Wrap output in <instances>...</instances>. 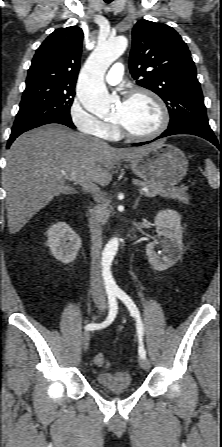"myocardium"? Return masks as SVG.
Listing matches in <instances>:
<instances>
[{
    "label": "myocardium",
    "instance_id": "f54148a6",
    "mask_svg": "<svg viewBox=\"0 0 222 447\" xmlns=\"http://www.w3.org/2000/svg\"><path fill=\"white\" fill-rule=\"evenodd\" d=\"M141 95L146 96L149 99H151L154 102V104L157 106L159 113H160V124L151 133L135 134V133H132L131 131H129L121 122L115 120L114 123L117 127L118 132L123 137H125L129 140H133V141H147V140H151V139H154V138L160 136L167 129V127L169 125V121H170L169 111H168V108H167L165 102L156 93H154L153 91H151L149 89H146V88L134 89V90L130 91L129 93H127V95L125 97V101L130 100L136 96H141Z\"/></svg>",
    "mask_w": 222,
    "mask_h": 447
}]
</instances>
